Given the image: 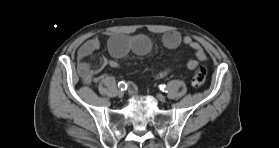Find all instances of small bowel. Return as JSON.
<instances>
[{
	"mask_svg": "<svg viewBox=\"0 0 279 148\" xmlns=\"http://www.w3.org/2000/svg\"><path fill=\"white\" fill-rule=\"evenodd\" d=\"M163 44L169 48L174 49L182 43L190 47L194 52L195 58H191L187 62V67L194 70L200 61H205L207 56L202 46L190 36H181L177 31H168L162 36ZM100 41L94 37L84 42L77 52V72L81 79L90 84L99 79V72L105 67L119 68V63L114 60H108L101 57L98 61L96 68H92L89 58L99 49ZM108 50L114 58H122L129 52H134L137 55H146L152 50V41L145 35L125 36L114 35L109 38ZM170 72V69L163 70L157 77H164ZM128 89L130 92L137 90V85L133 82L128 83Z\"/></svg>",
	"mask_w": 279,
	"mask_h": 148,
	"instance_id": "small-bowel-1",
	"label": "small bowel"
}]
</instances>
